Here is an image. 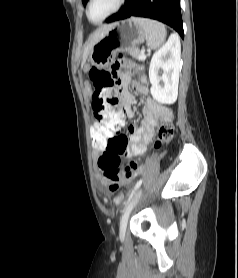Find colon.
<instances>
[{"label":"colon","instance_id":"1","mask_svg":"<svg viewBox=\"0 0 238 278\" xmlns=\"http://www.w3.org/2000/svg\"><path fill=\"white\" fill-rule=\"evenodd\" d=\"M120 59V58H119ZM109 70L92 68L89 77L94 84L92 96V108L98 124H93L91 135H95L92 148L104 149L99 159V166L104 176L109 181L111 191H116L121 183L131 178L140 169L137 161H131L128 166L122 165L121 154H126V144H108V137L111 134H121L120 124L122 121V106L117 98L115 85H112L113 76H108ZM173 134L171 124H164L159 128L156 146L168 142ZM122 200V195L117 201Z\"/></svg>","mask_w":238,"mask_h":278}]
</instances>
